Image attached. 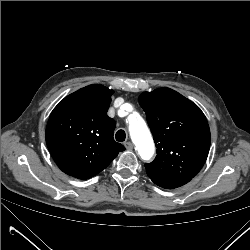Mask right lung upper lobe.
<instances>
[{
    "label": "right lung upper lobe",
    "instance_id": "cb5924a9",
    "mask_svg": "<svg viewBox=\"0 0 250 250\" xmlns=\"http://www.w3.org/2000/svg\"><path fill=\"white\" fill-rule=\"evenodd\" d=\"M113 90L93 84L65 97L52 111L46 143L58 167L67 175L88 179L125 147L114 141L115 121L107 110Z\"/></svg>",
    "mask_w": 250,
    "mask_h": 250
}]
</instances>
